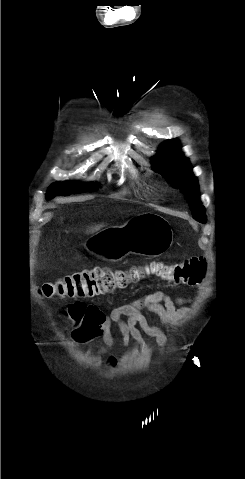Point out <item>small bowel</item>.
<instances>
[{
    "instance_id": "c3829d8e",
    "label": "small bowel",
    "mask_w": 245,
    "mask_h": 479,
    "mask_svg": "<svg viewBox=\"0 0 245 479\" xmlns=\"http://www.w3.org/2000/svg\"><path fill=\"white\" fill-rule=\"evenodd\" d=\"M189 298H171L163 292L149 293L142 298L114 308L109 314L103 313L98 306L86 304V328L87 333L94 337H101L106 348L114 343L111 328L116 325L123 346H128L134 341L142 353L148 350V344L144 335L155 340L160 350L166 345V336L160 328L151 325L143 311L154 314L160 322L169 326L188 316L187 304ZM113 365V360L108 361Z\"/></svg>"
}]
</instances>
